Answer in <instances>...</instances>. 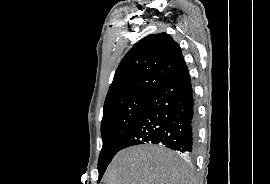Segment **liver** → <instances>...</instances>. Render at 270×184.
Returning <instances> with one entry per match:
<instances>
[{"mask_svg": "<svg viewBox=\"0 0 270 184\" xmlns=\"http://www.w3.org/2000/svg\"><path fill=\"white\" fill-rule=\"evenodd\" d=\"M104 180L106 184H188L190 175L175 163L168 149L145 144L117 153Z\"/></svg>", "mask_w": 270, "mask_h": 184, "instance_id": "1", "label": "liver"}]
</instances>
